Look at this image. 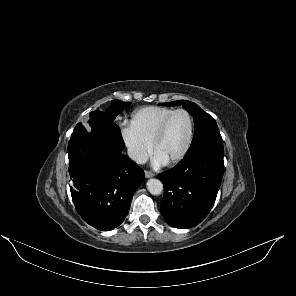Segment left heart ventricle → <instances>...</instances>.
Segmentation results:
<instances>
[{"label": "left heart ventricle", "instance_id": "left-heart-ventricle-1", "mask_svg": "<svg viewBox=\"0 0 296 296\" xmlns=\"http://www.w3.org/2000/svg\"><path fill=\"white\" fill-rule=\"evenodd\" d=\"M190 132L189 118L184 113L176 114L170 121L155 154L165 163L178 156L184 149Z\"/></svg>", "mask_w": 296, "mask_h": 296}]
</instances>
